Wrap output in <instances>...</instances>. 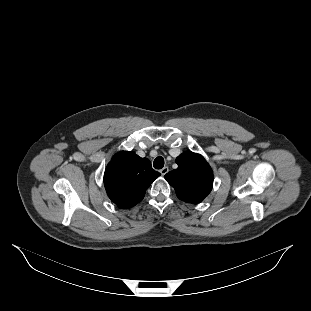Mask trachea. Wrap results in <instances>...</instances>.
Returning a JSON list of instances; mask_svg holds the SVG:
<instances>
[{
  "label": "trachea",
  "mask_w": 311,
  "mask_h": 311,
  "mask_svg": "<svg viewBox=\"0 0 311 311\" xmlns=\"http://www.w3.org/2000/svg\"><path fill=\"white\" fill-rule=\"evenodd\" d=\"M164 163L165 162H164L163 157L158 156V157L155 158L153 165H154L155 169H162L163 166H164Z\"/></svg>",
  "instance_id": "trachea-1"
}]
</instances>
